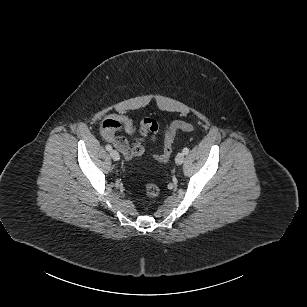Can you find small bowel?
<instances>
[{"instance_id": "small-bowel-1", "label": "small bowel", "mask_w": 307, "mask_h": 307, "mask_svg": "<svg viewBox=\"0 0 307 307\" xmlns=\"http://www.w3.org/2000/svg\"><path fill=\"white\" fill-rule=\"evenodd\" d=\"M133 134L136 125L133 120L126 115L113 113L108 115L101 123L100 132L103 139L114 145L127 160L140 157L145 152L144 141L150 136L154 140L158 133V124L155 120L146 118L141 121L139 126V136L129 144L126 137L119 132Z\"/></svg>"}]
</instances>
